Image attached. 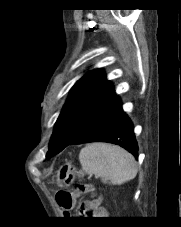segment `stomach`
Listing matches in <instances>:
<instances>
[{"label": "stomach", "mask_w": 181, "mask_h": 227, "mask_svg": "<svg viewBox=\"0 0 181 227\" xmlns=\"http://www.w3.org/2000/svg\"><path fill=\"white\" fill-rule=\"evenodd\" d=\"M76 178V169L70 163L62 165L56 176V185L59 188L70 187Z\"/></svg>", "instance_id": "stomach-1"}]
</instances>
